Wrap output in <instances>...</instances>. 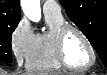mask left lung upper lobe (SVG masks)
Segmentation results:
<instances>
[{"mask_svg": "<svg viewBox=\"0 0 107 75\" xmlns=\"http://www.w3.org/2000/svg\"><path fill=\"white\" fill-rule=\"evenodd\" d=\"M107 68V0H60Z\"/></svg>", "mask_w": 107, "mask_h": 75, "instance_id": "1", "label": "left lung upper lobe"}]
</instances>
